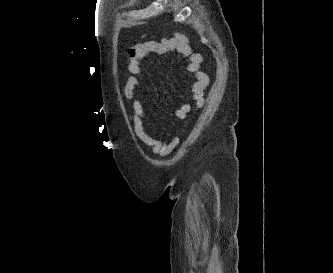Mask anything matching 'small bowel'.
I'll return each mask as SVG.
<instances>
[{
	"instance_id": "c3829d8e",
	"label": "small bowel",
	"mask_w": 333,
	"mask_h": 273,
	"mask_svg": "<svg viewBox=\"0 0 333 273\" xmlns=\"http://www.w3.org/2000/svg\"><path fill=\"white\" fill-rule=\"evenodd\" d=\"M178 52L182 57L187 58L188 63L186 69L195 77L191 87L192 97L195 106L200 108L204 104V92L209 83L208 76L200 70L202 56L198 53H193L187 37L180 33H176L172 38L162 37L159 41L149 40L129 49V63L125 73L124 95L132 101L133 107V129L137 137L151 149L153 154L157 156L165 155L174 147V142L163 143L160 140L152 137L145 127L144 109L141 101L136 99L134 94L140 85L139 76L143 73L144 60L152 54H165ZM189 110V105H181L176 110V115L179 118H184Z\"/></svg>"
}]
</instances>
